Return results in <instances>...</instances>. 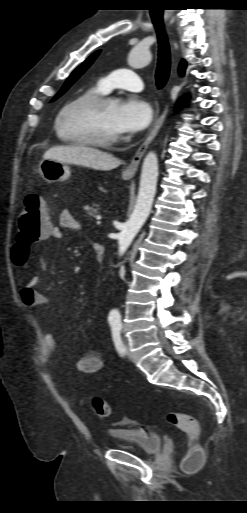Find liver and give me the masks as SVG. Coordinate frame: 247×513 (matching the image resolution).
I'll return each mask as SVG.
<instances>
[{"instance_id":"1","label":"liver","mask_w":247,"mask_h":513,"mask_svg":"<svg viewBox=\"0 0 247 513\" xmlns=\"http://www.w3.org/2000/svg\"><path fill=\"white\" fill-rule=\"evenodd\" d=\"M43 158L57 160L62 163L82 165L102 171L116 168L121 163L120 160L111 154L83 145L55 146L48 149L44 153Z\"/></svg>"}]
</instances>
